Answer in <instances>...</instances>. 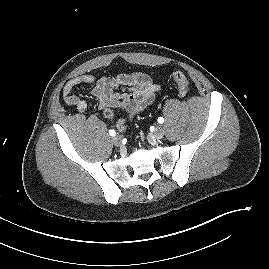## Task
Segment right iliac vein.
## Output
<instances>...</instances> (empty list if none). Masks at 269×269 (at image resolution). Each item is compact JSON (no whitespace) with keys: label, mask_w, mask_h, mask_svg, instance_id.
Wrapping results in <instances>:
<instances>
[{"label":"right iliac vein","mask_w":269,"mask_h":269,"mask_svg":"<svg viewBox=\"0 0 269 269\" xmlns=\"http://www.w3.org/2000/svg\"><path fill=\"white\" fill-rule=\"evenodd\" d=\"M112 142L116 145V146H119L121 145V142H122V138L120 135H115L113 138H112Z\"/></svg>","instance_id":"63e3f726"}]
</instances>
